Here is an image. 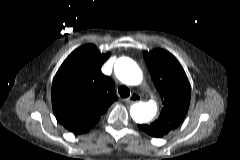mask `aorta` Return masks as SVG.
<instances>
[{"instance_id": "1", "label": "aorta", "mask_w": 240, "mask_h": 160, "mask_svg": "<svg viewBox=\"0 0 240 160\" xmlns=\"http://www.w3.org/2000/svg\"><path fill=\"white\" fill-rule=\"evenodd\" d=\"M117 78L128 85H138L142 73L134 60L128 57L119 58L114 65ZM157 112L155 101L140 102L131 106L130 115L136 123H146L154 118Z\"/></svg>"}]
</instances>
